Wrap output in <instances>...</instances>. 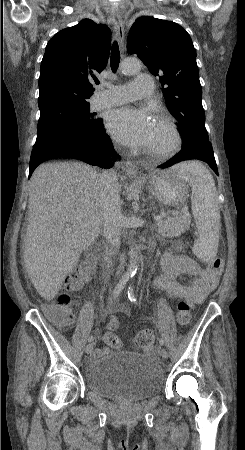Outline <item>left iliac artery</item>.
Here are the masks:
<instances>
[{"label": "left iliac artery", "instance_id": "left-iliac-artery-1", "mask_svg": "<svg viewBox=\"0 0 245 450\" xmlns=\"http://www.w3.org/2000/svg\"><path fill=\"white\" fill-rule=\"evenodd\" d=\"M127 294H128V298H129V300L131 302H133L134 304L138 303V301H137V299L135 297V294H134V287H133V285L129 286ZM159 343H160V345L163 346L164 345V340L162 338H159Z\"/></svg>", "mask_w": 245, "mask_h": 450}]
</instances>
